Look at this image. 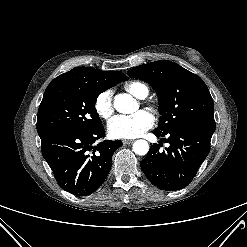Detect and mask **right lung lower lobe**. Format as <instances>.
<instances>
[{
    "mask_svg": "<svg viewBox=\"0 0 247 247\" xmlns=\"http://www.w3.org/2000/svg\"><path fill=\"white\" fill-rule=\"evenodd\" d=\"M105 135L104 127L90 131H68L41 139L44 159L53 171L59 186L84 196L95 192L105 181L113 153L120 140L92 144Z\"/></svg>",
    "mask_w": 247,
    "mask_h": 247,
    "instance_id": "1",
    "label": "right lung lower lobe"
}]
</instances>
